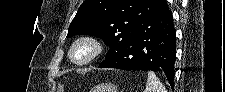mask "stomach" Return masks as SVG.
Here are the masks:
<instances>
[{
    "label": "stomach",
    "instance_id": "1",
    "mask_svg": "<svg viewBox=\"0 0 225 92\" xmlns=\"http://www.w3.org/2000/svg\"><path fill=\"white\" fill-rule=\"evenodd\" d=\"M91 92H118V88L114 85L103 84L92 89Z\"/></svg>",
    "mask_w": 225,
    "mask_h": 92
}]
</instances>
